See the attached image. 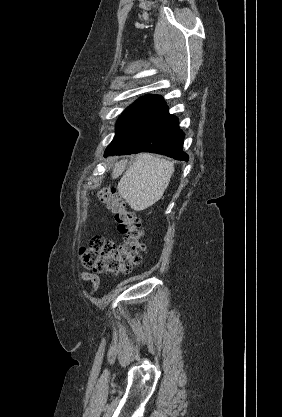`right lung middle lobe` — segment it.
I'll return each mask as SVG.
<instances>
[{
	"instance_id": "obj_1",
	"label": "right lung middle lobe",
	"mask_w": 282,
	"mask_h": 417,
	"mask_svg": "<svg viewBox=\"0 0 282 417\" xmlns=\"http://www.w3.org/2000/svg\"><path fill=\"white\" fill-rule=\"evenodd\" d=\"M158 95H147L138 99L135 103L130 105L121 115L117 126L116 134L121 132L135 120H137L142 114H144L158 99Z\"/></svg>"
}]
</instances>
